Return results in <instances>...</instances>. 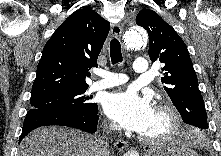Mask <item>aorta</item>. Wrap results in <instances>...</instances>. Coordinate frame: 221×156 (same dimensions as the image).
I'll use <instances>...</instances> for the list:
<instances>
[{
    "instance_id": "1",
    "label": "aorta",
    "mask_w": 221,
    "mask_h": 156,
    "mask_svg": "<svg viewBox=\"0 0 221 156\" xmlns=\"http://www.w3.org/2000/svg\"><path fill=\"white\" fill-rule=\"evenodd\" d=\"M124 42L127 48L129 49H140L145 46L148 42V36L140 27L134 26L129 28L124 34ZM127 156H138V154L134 153L133 155Z\"/></svg>"
}]
</instances>
